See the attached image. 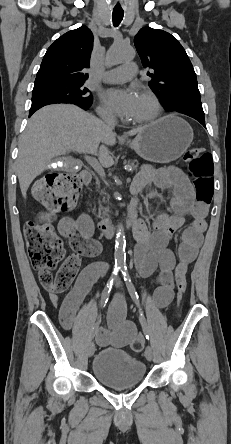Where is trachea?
Returning a JSON list of instances; mask_svg holds the SVG:
<instances>
[{
    "label": "trachea",
    "mask_w": 231,
    "mask_h": 444,
    "mask_svg": "<svg viewBox=\"0 0 231 444\" xmlns=\"http://www.w3.org/2000/svg\"><path fill=\"white\" fill-rule=\"evenodd\" d=\"M123 16H124V11H122V10H113L112 20H113V25L115 27H117L121 23V21L123 19Z\"/></svg>",
    "instance_id": "obj_1"
}]
</instances>
